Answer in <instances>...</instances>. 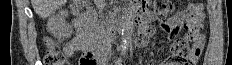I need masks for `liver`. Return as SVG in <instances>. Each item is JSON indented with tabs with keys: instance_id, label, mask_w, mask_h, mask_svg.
Listing matches in <instances>:
<instances>
[{
	"instance_id": "6515ba94",
	"label": "liver",
	"mask_w": 232,
	"mask_h": 65,
	"mask_svg": "<svg viewBox=\"0 0 232 65\" xmlns=\"http://www.w3.org/2000/svg\"><path fill=\"white\" fill-rule=\"evenodd\" d=\"M66 2L67 0H31L35 13L42 18L50 16Z\"/></svg>"
}]
</instances>
